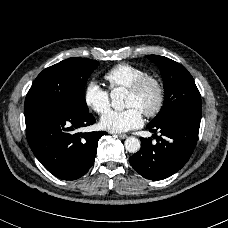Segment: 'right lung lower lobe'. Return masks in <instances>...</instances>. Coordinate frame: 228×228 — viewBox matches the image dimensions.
Masks as SVG:
<instances>
[{
  "instance_id": "obj_1",
  "label": "right lung lower lobe",
  "mask_w": 228,
  "mask_h": 228,
  "mask_svg": "<svg viewBox=\"0 0 228 228\" xmlns=\"http://www.w3.org/2000/svg\"><path fill=\"white\" fill-rule=\"evenodd\" d=\"M27 141L40 163L54 176L75 180L93 165L98 140L107 132L74 133L95 123L91 113H81L59 103L25 106Z\"/></svg>"
}]
</instances>
